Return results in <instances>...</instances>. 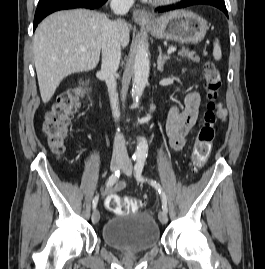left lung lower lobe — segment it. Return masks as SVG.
<instances>
[{"instance_id": "obj_1", "label": "left lung lower lobe", "mask_w": 265, "mask_h": 269, "mask_svg": "<svg viewBox=\"0 0 265 269\" xmlns=\"http://www.w3.org/2000/svg\"><path fill=\"white\" fill-rule=\"evenodd\" d=\"M198 4H206V5L214 6L218 9H220L221 11H223L226 14V16H228L224 0H187L177 7L169 8V9H160L158 11L165 12V11H169V10H173V9L185 8L188 6L198 5Z\"/></svg>"}]
</instances>
